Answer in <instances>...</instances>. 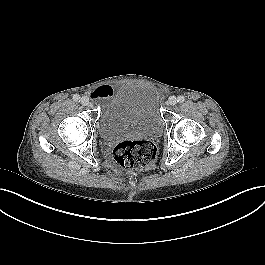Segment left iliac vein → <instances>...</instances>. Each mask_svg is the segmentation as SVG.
I'll return each instance as SVG.
<instances>
[{"mask_svg": "<svg viewBox=\"0 0 265 265\" xmlns=\"http://www.w3.org/2000/svg\"><path fill=\"white\" fill-rule=\"evenodd\" d=\"M168 104H169L170 106H174V105H176V104H177V98H176L175 96H171V97H169V99H168Z\"/></svg>", "mask_w": 265, "mask_h": 265, "instance_id": "left-iliac-vein-1", "label": "left iliac vein"}]
</instances>
